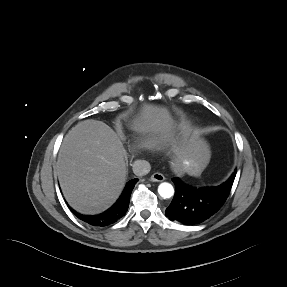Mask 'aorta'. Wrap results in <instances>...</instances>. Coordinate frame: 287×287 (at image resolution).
Segmentation results:
<instances>
[{"mask_svg": "<svg viewBox=\"0 0 287 287\" xmlns=\"http://www.w3.org/2000/svg\"><path fill=\"white\" fill-rule=\"evenodd\" d=\"M159 195L164 198H171L174 195V188L170 183L163 182L158 186Z\"/></svg>", "mask_w": 287, "mask_h": 287, "instance_id": "1", "label": "aorta"}]
</instances>
